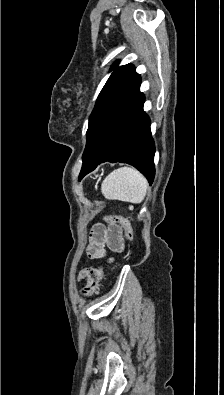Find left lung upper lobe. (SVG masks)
I'll list each match as a JSON object with an SVG mask.
<instances>
[{
	"label": "left lung upper lobe",
	"mask_w": 224,
	"mask_h": 395,
	"mask_svg": "<svg viewBox=\"0 0 224 395\" xmlns=\"http://www.w3.org/2000/svg\"><path fill=\"white\" fill-rule=\"evenodd\" d=\"M117 65L118 62H115L111 69H115ZM138 76L139 75L135 72V68L131 64L118 67L114 70L100 92L95 107L91 113L87 137L97 113Z\"/></svg>",
	"instance_id": "obj_1"
}]
</instances>
